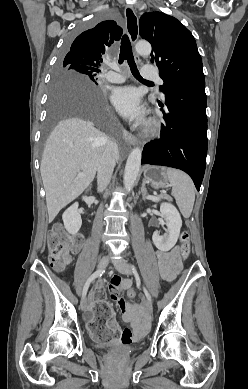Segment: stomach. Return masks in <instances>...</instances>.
<instances>
[{
  "mask_svg": "<svg viewBox=\"0 0 248 389\" xmlns=\"http://www.w3.org/2000/svg\"><path fill=\"white\" fill-rule=\"evenodd\" d=\"M144 179L155 189L164 188L168 185L166 168L160 166H146Z\"/></svg>",
  "mask_w": 248,
  "mask_h": 389,
  "instance_id": "1",
  "label": "stomach"
}]
</instances>
